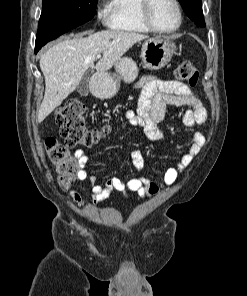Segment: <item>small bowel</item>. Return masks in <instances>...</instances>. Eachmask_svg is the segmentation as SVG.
Instances as JSON below:
<instances>
[{
    "mask_svg": "<svg viewBox=\"0 0 247 296\" xmlns=\"http://www.w3.org/2000/svg\"><path fill=\"white\" fill-rule=\"evenodd\" d=\"M135 88L139 91L136 109L127 111L125 117L129 126L142 129L151 141L158 142L163 139V133L158 124L163 120L167 106L185 108L181 121L189 129L205 123L207 119V111L202 101L189 86L182 82L147 75L138 81ZM205 143L206 138L201 132H193L188 151L176 161L174 166L168 168L159 180L137 175L127 181H123L118 176H111L104 182H100L98 177L90 175L86 170L88 155L83 150H77L75 152L79 161L77 180L90 184L94 205L105 201L112 191L120 192L124 198H128L130 192L136 193L141 198H147L173 185ZM131 158L136 172L139 173L145 165L143 153L135 149L131 152ZM69 198L72 202L79 203L81 194L76 189H71Z\"/></svg>",
    "mask_w": 247,
    "mask_h": 296,
    "instance_id": "c3829d8e",
    "label": "small bowel"
}]
</instances>
